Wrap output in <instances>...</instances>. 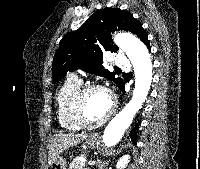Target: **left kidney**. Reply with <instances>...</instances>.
<instances>
[{"mask_svg":"<svg viewBox=\"0 0 200 169\" xmlns=\"http://www.w3.org/2000/svg\"><path fill=\"white\" fill-rule=\"evenodd\" d=\"M129 159H130L129 155L122 156L117 162V165H116L117 169H124L129 163Z\"/></svg>","mask_w":200,"mask_h":169,"instance_id":"1","label":"left kidney"}]
</instances>
